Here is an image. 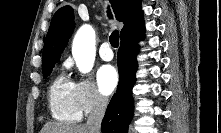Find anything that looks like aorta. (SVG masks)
<instances>
[{"label":"aorta","mask_w":221,"mask_h":133,"mask_svg":"<svg viewBox=\"0 0 221 133\" xmlns=\"http://www.w3.org/2000/svg\"><path fill=\"white\" fill-rule=\"evenodd\" d=\"M72 55L81 73L92 70L95 50V30L90 25H83L76 33L72 44Z\"/></svg>","instance_id":"1"}]
</instances>
